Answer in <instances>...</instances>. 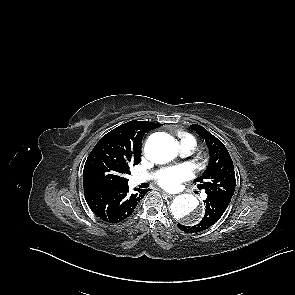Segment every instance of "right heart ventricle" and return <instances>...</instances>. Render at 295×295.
Segmentation results:
<instances>
[{"mask_svg": "<svg viewBox=\"0 0 295 295\" xmlns=\"http://www.w3.org/2000/svg\"><path fill=\"white\" fill-rule=\"evenodd\" d=\"M180 137V142L185 143V142H192L194 145L196 144V141L192 135L186 132H180L179 133Z\"/></svg>", "mask_w": 295, "mask_h": 295, "instance_id": "e07e8e85", "label": "right heart ventricle"}]
</instances>
